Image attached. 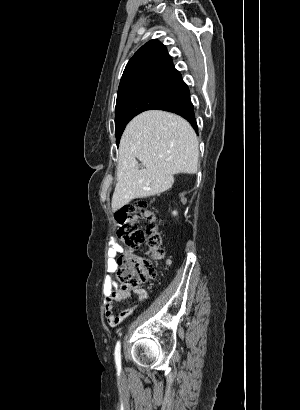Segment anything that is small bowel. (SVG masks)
Segmentation results:
<instances>
[{
  "instance_id": "1",
  "label": "small bowel",
  "mask_w": 300,
  "mask_h": 410,
  "mask_svg": "<svg viewBox=\"0 0 300 410\" xmlns=\"http://www.w3.org/2000/svg\"><path fill=\"white\" fill-rule=\"evenodd\" d=\"M109 260L108 269L113 271L117 267L115 256L119 253H127L123 246L115 240L109 242ZM135 295L136 300L131 307L116 312L114 305L116 302L124 300L126 298ZM147 298V291L144 288L135 289H117L115 283L110 275L104 280V314L105 318L110 326H117L125 319H127L135 310L138 303Z\"/></svg>"
}]
</instances>
